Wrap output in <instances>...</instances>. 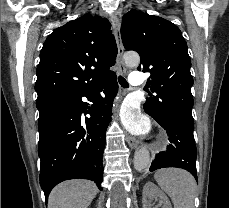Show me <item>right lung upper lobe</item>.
Instances as JSON below:
<instances>
[{
  "label": "right lung upper lobe",
  "mask_w": 229,
  "mask_h": 208,
  "mask_svg": "<svg viewBox=\"0 0 229 208\" xmlns=\"http://www.w3.org/2000/svg\"><path fill=\"white\" fill-rule=\"evenodd\" d=\"M110 27L107 19L86 14L46 38L36 70L37 103L75 99L115 76L109 70L117 55Z\"/></svg>",
  "instance_id": "cb5924a9"
}]
</instances>
